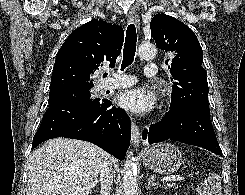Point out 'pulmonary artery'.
<instances>
[{"label": "pulmonary artery", "mask_w": 245, "mask_h": 195, "mask_svg": "<svg viewBox=\"0 0 245 195\" xmlns=\"http://www.w3.org/2000/svg\"><path fill=\"white\" fill-rule=\"evenodd\" d=\"M145 76L146 78H153L156 76V64L149 63L145 67ZM137 80L127 74L122 73H113L112 77L108 80H105L100 87L102 89H121L126 87H131L135 85Z\"/></svg>", "instance_id": "pulmonary-artery-1"}]
</instances>
